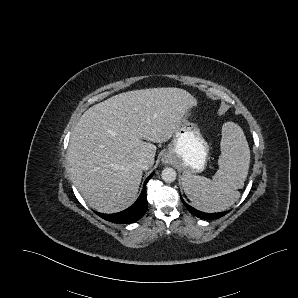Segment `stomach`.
<instances>
[{
    "label": "stomach",
    "instance_id": "stomach-1",
    "mask_svg": "<svg viewBox=\"0 0 298 298\" xmlns=\"http://www.w3.org/2000/svg\"><path fill=\"white\" fill-rule=\"evenodd\" d=\"M190 117L191 109L182 113L180 123L162 154L161 162L165 165H175L184 173L197 174L202 173L207 167L210 145L198 124L189 120ZM182 185L184 188V180Z\"/></svg>",
    "mask_w": 298,
    "mask_h": 298
}]
</instances>
